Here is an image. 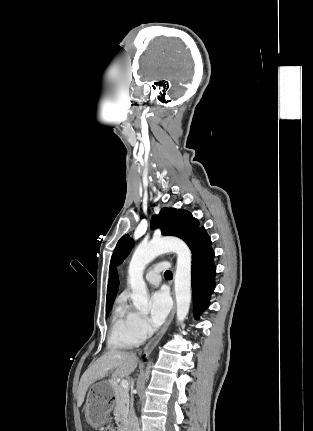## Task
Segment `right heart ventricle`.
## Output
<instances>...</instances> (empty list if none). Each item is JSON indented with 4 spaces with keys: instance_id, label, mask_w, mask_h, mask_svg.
Instances as JSON below:
<instances>
[{
    "instance_id": "right-heart-ventricle-1",
    "label": "right heart ventricle",
    "mask_w": 313,
    "mask_h": 431,
    "mask_svg": "<svg viewBox=\"0 0 313 431\" xmlns=\"http://www.w3.org/2000/svg\"><path fill=\"white\" fill-rule=\"evenodd\" d=\"M134 311L129 309L124 301H119L115 307L109 345L114 349H128L138 345L141 338L133 328Z\"/></svg>"
}]
</instances>
